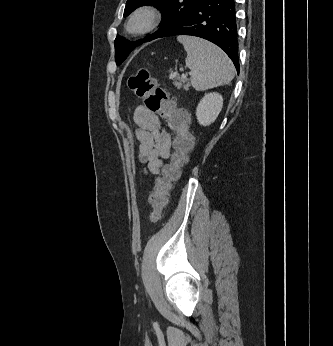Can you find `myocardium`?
I'll use <instances>...</instances> for the list:
<instances>
[{"instance_id":"f54148a6","label":"myocardium","mask_w":333,"mask_h":346,"mask_svg":"<svg viewBox=\"0 0 333 346\" xmlns=\"http://www.w3.org/2000/svg\"><path fill=\"white\" fill-rule=\"evenodd\" d=\"M161 18L162 12L158 6L143 4L130 14L125 24V30L129 35H143L155 29Z\"/></svg>"}]
</instances>
